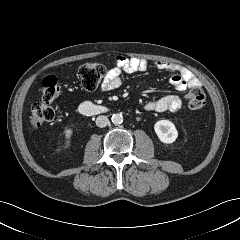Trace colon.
Instances as JSON below:
<instances>
[{
	"label": "colon",
	"mask_w": 240,
	"mask_h": 240,
	"mask_svg": "<svg viewBox=\"0 0 240 240\" xmlns=\"http://www.w3.org/2000/svg\"><path fill=\"white\" fill-rule=\"evenodd\" d=\"M106 76V68L98 63H85L78 69L81 86L86 91L95 90ZM42 102L36 103L31 109L30 122L35 128L51 122L56 115L54 107L49 103L57 97L60 91L58 79L49 75L42 80ZM191 110L201 109L206 100L204 90L200 86L192 87L186 95Z\"/></svg>",
	"instance_id": "5ec220e1"
}]
</instances>
